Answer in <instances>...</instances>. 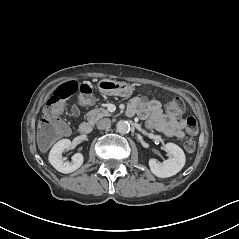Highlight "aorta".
<instances>
[{"instance_id": "aorta-1", "label": "aorta", "mask_w": 239, "mask_h": 239, "mask_svg": "<svg viewBox=\"0 0 239 239\" xmlns=\"http://www.w3.org/2000/svg\"><path fill=\"white\" fill-rule=\"evenodd\" d=\"M129 124L125 121H120L117 123V131L121 134H126L129 131Z\"/></svg>"}]
</instances>
